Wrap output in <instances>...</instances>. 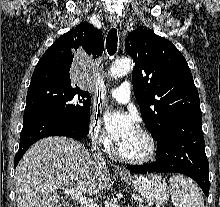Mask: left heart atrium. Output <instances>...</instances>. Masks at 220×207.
<instances>
[{"label":"left heart atrium","instance_id":"1","mask_svg":"<svg viewBox=\"0 0 220 207\" xmlns=\"http://www.w3.org/2000/svg\"><path fill=\"white\" fill-rule=\"evenodd\" d=\"M104 119L106 128L118 143L136 130L134 118L129 114L112 111L106 113Z\"/></svg>","mask_w":220,"mask_h":207}]
</instances>
